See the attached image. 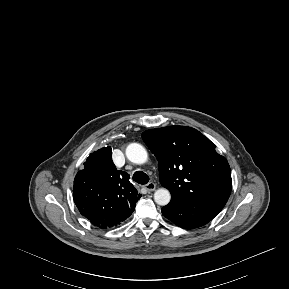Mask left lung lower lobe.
<instances>
[{
  "label": "left lung lower lobe",
  "instance_id": "1",
  "mask_svg": "<svg viewBox=\"0 0 289 289\" xmlns=\"http://www.w3.org/2000/svg\"><path fill=\"white\" fill-rule=\"evenodd\" d=\"M163 215L179 227L193 229L211 221L218 212L189 200L171 198L168 205L162 208Z\"/></svg>",
  "mask_w": 289,
  "mask_h": 289
}]
</instances>
